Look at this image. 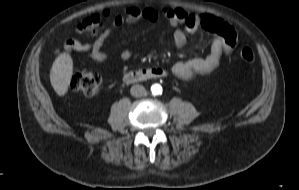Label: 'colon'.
Masks as SVG:
<instances>
[{
    "label": "colon",
    "mask_w": 299,
    "mask_h": 190,
    "mask_svg": "<svg viewBox=\"0 0 299 190\" xmlns=\"http://www.w3.org/2000/svg\"><path fill=\"white\" fill-rule=\"evenodd\" d=\"M108 17V13L93 15L79 24L76 28V32L78 34L94 35L102 28L104 21ZM200 22L202 26H205L208 24L209 19L202 17ZM241 59L246 63H252L255 60V54L252 49L248 47L243 48L241 51ZM100 84L101 77L87 69L75 73L71 79L72 88L82 92L86 96H95L99 91Z\"/></svg>",
    "instance_id": "1"
}]
</instances>
